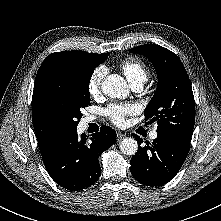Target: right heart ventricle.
Returning a JSON list of instances; mask_svg holds the SVG:
<instances>
[{
	"instance_id": "right-heart-ventricle-1",
	"label": "right heart ventricle",
	"mask_w": 221,
	"mask_h": 221,
	"mask_svg": "<svg viewBox=\"0 0 221 221\" xmlns=\"http://www.w3.org/2000/svg\"><path fill=\"white\" fill-rule=\"evenodd\" d=\"M118 67L127 77L131 85H143L149 78V68L147 64L137 56H131L118 63Z\"/></svg>"
}]
</instances>
